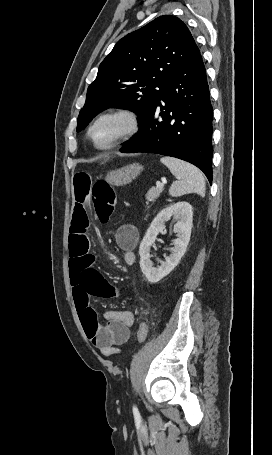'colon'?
Here are the masks:
<instances>
[{
    "mask_svg": "<svg viewBox=\"0 0 272 455\" xmlns=\"http://www.w3.org/2000/svg\"><path fill=\"white\" fill-rule=\"evenodd\" d=\"M91 198L97 218L100 222L107 223L115 210V191L105 180H98L93 185ZM147 335L148 326L145 322H142L137 330L138 343H143L146 340Z\"/></svg>",
    "mask_w": 272,
    "mask_h": 455,
    "instance_id": "colon-1",
    "label": "colon"
}]
</instances>
